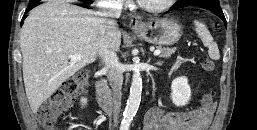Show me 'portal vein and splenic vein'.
I'll return each instance as SVG.
<instances>
[{
    "label": "portal vein and splenic vein",
    "mask_w": 257,
    "mask_h": 130,
    "mask_svg": "<svg viewBox=\"0 0 257 130\" xmlns=\"http://www.w3.org/2000/svg\"><path fill=\"white\" fill-rule=\"evenodd\" d=\"M161 53V50H155L154 55L157 56ZM68 59H70L71 62H77L82 59L80 55H69Z\"/></svg>",
    "instance_id": "portal-vein-and-splenic-vein-1"
}]
</instances>
